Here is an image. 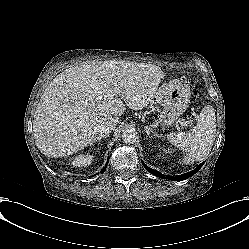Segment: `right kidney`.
Returning <instances> with one entry per match:
<instances>
[{
    "mask_svg": "<svg viewBox=\"0 0 249 249\" xmlns=\"http://www.w3.org/2000/svg\"><path fill=\"white\" fill-rule=\"evenodd\" d=\"M87 163H88V164H90V163H91V161H90V160H88V161H87Z\"/></svg>",
    "mask_w": 249,
    "mask_h": 249,
    "instance_id": "obj_1",
    "label": "right kidney"
}]
</instances>
